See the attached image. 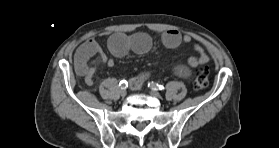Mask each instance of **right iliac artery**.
Instances as JSON below:
<instances>
[{"label":"right iliac artery","mask_w":279,"mask_h":148,"mask_svg":"<svg viewBox=\"0 0 279 148\" xmlns=\"http://www.w3.org/2000/svg\"><path fill=\"white\" fill-rule=\"evenodd\" d=\"M119 85L121 86V89H126L128 86V83L126 80L120 81Z\"/></svg>","instance_id":"obj_1"}]
</instances>
